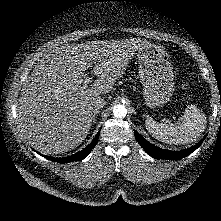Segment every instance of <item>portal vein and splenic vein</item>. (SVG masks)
<instances>
[{"label": "portal vein and splenic vein", "instance_id": "1", "mask_svg": "<svg viewBox=\"0 0 221 221\" xmlns=\"http://www.w3.org/2000/svg\"><path fill=\"white\" fill-rule=\"evenodd\" d=\"M92 81V77H88L86 80H85V83H89ZM164 120L166 121V119L164 118Z\"/></svg>", "mask_w": 221, "mask_h": 221}]
</instances>
